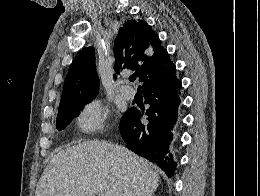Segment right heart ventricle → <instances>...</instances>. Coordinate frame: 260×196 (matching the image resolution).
<instances>
[{"instance_id": "obj_1", "label": "right heart ventricle", "mask_w": 260, "mask_h": 196, "mask_svg": "<svg viewBox=\"0 0 260 196\" xmlns=\"http://www.w3.org/2000/svg\"><path fill=\"white\" fill-rule=\"evenodd\" d=\"M64 192H85L84 190H64Z\"/></svg>"}]
</instances>
